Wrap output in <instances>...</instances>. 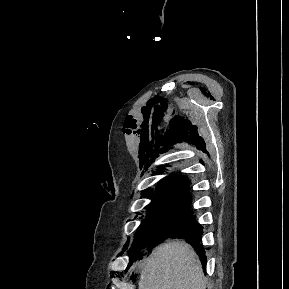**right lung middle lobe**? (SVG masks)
I'll return each mask as SVG.
<instances>
[{
	"mask_svg": "<svg viewBox=\"0 0 289 289\" xmlns=\"http://www.w3.org/2000/svg\"><path fill=\"white\" fill-rule=\"evenodd\" d=\"M190 196L156 197L132 245L154 236H173L191 220Z\"/></svg>",
	"mask_w": 289,
	"mask_h": 289,
	"instance_id": "obj_1",
	"label": "right lung middle lobe"
}]
</instances>
